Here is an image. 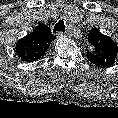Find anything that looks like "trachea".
I'll use <instances>...</instances> for the list:
<instances>
[{"label": "trachea", "mask_w": 118, "mask_h": 118, "mask_svg": "<svg viewBox=\"0 0 118 118\" xmlns=\"http://www.w3.org/2000/svg\"><path fill=\"white\" fill-rule=\"evenodd\" d=\"M53 32H62V33L65 32V25L63 20H60L59 22L56 23Z\"/></svg>", "instance_id": "1"}]
</instances>
